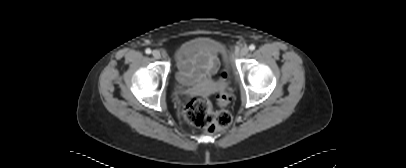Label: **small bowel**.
Returning a JSON list of instances; mask_svg holds the SVG:
<instances>
[{"instance_id":"obj_1","label":"small bowel","mask_w":406,"mask_h":168,"mask_svg":"<svg viewBox=\"0 0 406 168\" xmlns=\"http://www.w3.org/2000/svg\"><path fill=\"white\" fill-rule=\"evenodd\" d=\"M219 65L217 55L211 51L195 50L180 59V69L183 76L192 72L198 75H211Z\"/></svg>"}]
</instances>
